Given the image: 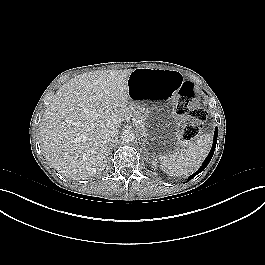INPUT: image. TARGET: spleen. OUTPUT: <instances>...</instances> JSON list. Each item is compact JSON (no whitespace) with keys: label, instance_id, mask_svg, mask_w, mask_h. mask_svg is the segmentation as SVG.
Segmentation results:
<instances>
[{"label":"spleen","instance_id":"1","mask_svg":"<svg viewBox=\"0 0 265 265\" xmlns=\"http://www.w3.org/2000/svg\"><path fill=\"white\" fill-rule=\"evenodd\" d=\"M211 145V135L203 134L187 149L160 157L161 168L171 176L192 173L201 165Z\"/></svg>","mask_w":265,"mask_h":265}]
</instances>
